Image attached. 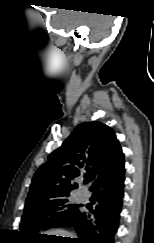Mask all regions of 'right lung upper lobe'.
Masks as SVG:
<instances>
[{
	"label": "right lung upper lobe",
	"mask_w": 154,
	"mask_h": 243,
	"mask_svg": "<svg viewBox=\"0 0 154 243\" xmlns=\"http://www.w3.org/2000/svg\"><path fill=\"white\" fill-rule=\"evenodd\" d=\"M123 165L124 155L114 131L101 122L82 123L37 170L25 208L68 196L78 187L72 180L83 171L92 187Z\"/></svg>",
	"instance_id": "obj_1"
}]
</instances>
